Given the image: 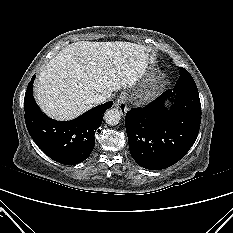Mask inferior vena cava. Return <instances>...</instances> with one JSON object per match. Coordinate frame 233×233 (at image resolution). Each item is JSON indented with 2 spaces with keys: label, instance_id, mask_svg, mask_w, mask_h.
<instances>
[{
  "label": "inferior vena cava",
  "instance_id": "obj_1",
  "mask_svg": "<svg viewBox=\"0 0 233 233\" xmlns=\"http://www.w3.org/2000/svg\"><path fill=\"white\" fill-rule=\"evenodd\" d=\"M107 99V96L105 94H97L96 96L93 97L92 102L94 104H101L105 102Z\"/></svg>",
  "mask_w": 233,
  "mask_h": 233
}]
</instances>
